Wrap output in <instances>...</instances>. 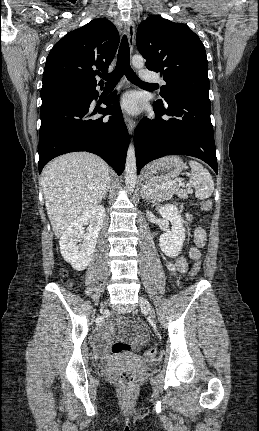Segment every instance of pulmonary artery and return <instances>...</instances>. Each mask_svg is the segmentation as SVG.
Masks as SVG:
<instances>
[{
	"label": "pulmonary artery",
	"mask_w": 259,
	"mask_h": 431,
	"mask_svg": "<svg viewBox=\"0 0 259 431\" xmlns=\"http://www.w3.org/2000/svg\"><path fill=\"white\" fill-rule=\"evenodd\" d=\"M141 79L145 82H159L160 79L156 74H153L152 72L142 70L140 73Z\"/></svg>",
	"instance_id": "pulmonary-artery-1"
}]
</instances>
